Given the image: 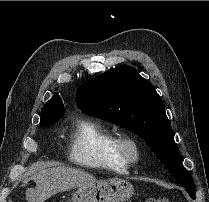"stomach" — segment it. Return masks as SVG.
Segmentation results:
<instances>
[{
    "instance_id": "0dacf381",
    "label": "stomach",
    "mask_w": 209,
    "mask_h": 202,
    "mask_svg": "<svg viewBox=\"0 0 209 202\" xmlns=\"http://www.w3.org/2000/svg\"><path fill=\"white\" fill-rule=\"evenodd\" d=\"M134 194V187L122 179L97 181L78 188L69 202H125Z\"/></svg>"
}]
</instances>
